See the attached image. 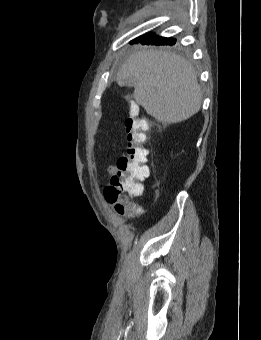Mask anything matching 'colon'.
<instances>
[{
  "label": "colon",
  "instance_id": "obj_1",
  "mask_svg": "<svg viewBox=\"0 0 261 340\" xmlns=\"http://www.w3.org/2000/svg\"><path fill=\"white\" fill-rule=\"evenodd\" d=\"M125 128L127 151L117 160V174L112 177L110 185L105 188L104 195L118 213L135 215L140 212V208L131 199L141 195L142 181L149 176L146 164L149 150L145 146L148 124L137 116L134 106L130 109Z\"/></svg>",
  "mask_w": 261,
  "mask_h": 340
}]
</instances>
